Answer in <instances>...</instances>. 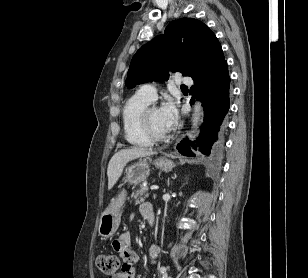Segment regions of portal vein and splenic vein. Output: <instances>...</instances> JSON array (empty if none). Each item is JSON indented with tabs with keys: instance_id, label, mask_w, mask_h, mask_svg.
Masks as SVG:
<instances>
[{
	"instance_id": "1",
	"label": "portal vein and splenic vein",
	"mask_w": 308,
	"mask_h": 278,
	"mask_svg": "<svg viewBox=\"0 0 308 278\" xmlns=\"http://www.w3.org/2000/svg\"><path fill=\"white\" fill-rule=\"evenodd\" d=\"M159 187L157 185H153L150 187L151 190H157Z\"/></svg>"
}]
</instances>
